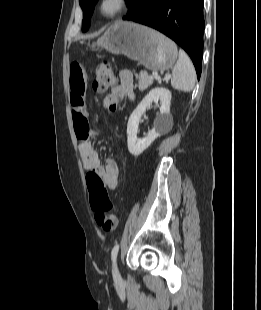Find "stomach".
<instances>
[{"instance_id": "0dacf381", "label": "stomach", "mask_w": 261, "mask_h": 310, "mask_svg": "<svg viewBox=\"0 0 261 310\" xmlns=\"http://www.w3.org/2000/svg\"><path fill=\"white\" fill-rule=\"evenodd\" d=\"M92 46L123 54L157 72L172 68L178 57L177 47L170 39L133 22L114 23Z\"/></svg>"}]
</instances>
